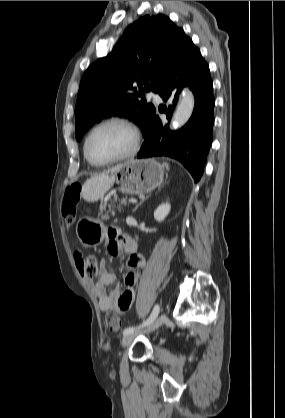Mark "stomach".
<instances>
[{
	"label": "stomach",
	"mask_w": 285,
	"mask_h": 418,
	"mask_svg": "<svg viewBox=\"0 0 285 418\" xmlns=\"http://www.w3.org/2000/svg\"><path fill=\"white\" fill-rule=\"evenodd\" d=\"M113 175L123 193L143 194L162 184L164 169L154 159H131L119 165ZM105 229L101 220L84 218L79 221L76 234L83 244H96L103 241Z\"/></svg>",
	"instance_id": "stomach-1"
}]
</instances>
